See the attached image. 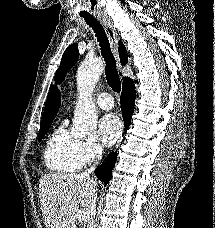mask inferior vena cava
Segmentation results:
<instances>
[{"mask_svg":"<svg viewBox=\"0 0 215 228\" xmlns=\"http://www.w3.org/2000/svg\"><path fill=\"white\" fill-rule=\"evenodd\" d=\"M102 158V150H97L96 152V162L95 164H93V166H91V168H89V170H86V172H83V176H90V174H93L96 166H97V162L98 160H101ZM97 186V184H96ZM96 186H94V188H92L91 192V202H90V206H89V210H90V214H91V218L90 220H88V226L87 228H96V224L94 222V214L96 212V202H97V190H96Z\"/></svg>","mask_w":215,"mask_h":228,"instance_id":"1","label":"inferior vena cava"}]
</instances>
